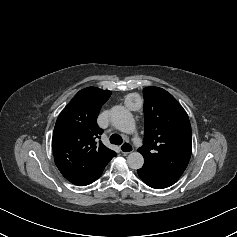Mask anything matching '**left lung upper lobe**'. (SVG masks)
Returning a JSON list of instances; mask_svg holds the SVG:
<instances>
[{
  "label": "left lung upper lobe",
  "instance_id": "1",
  "mask_svg": "<svg viewBox=\"0 0 237 237\" xmlns=\"http://www.w3.org/2000/svg\"><path fill=\"white\" fill-rule=\"evenodd\" d=\"M143 95L144 145L138 151L144 156V164L180 177L192 152L188 115L162 88L146 87Z\"/></svg>",
  "mask_w": 237,
  "mask_h": 237
}]
</instances>
